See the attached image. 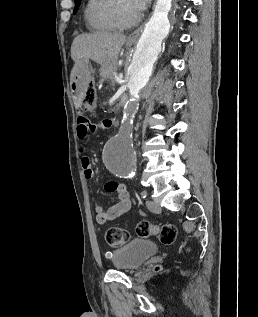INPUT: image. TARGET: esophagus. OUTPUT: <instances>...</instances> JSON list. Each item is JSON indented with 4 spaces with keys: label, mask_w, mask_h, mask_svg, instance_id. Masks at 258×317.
Returning <instances> with one entry per match:
<instances>
[{
    "label": "esophagus",
    "mask_w": 258,
    "mask_h": 317,
    "mask_svg": "<svg viewBox=\"0 0 258 317\" xmlns=\"http://www.w3.org/2000/svg\"><path fill=\"white\" fill-rule=\"evenodd\" d=\"M145 24H142L137 30H134V32L130 33L128 36V40H135L139 37L141 31L143 30Z\"/></svg>",
    "instance_id": "1"
}]
</instances>
